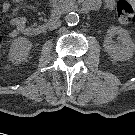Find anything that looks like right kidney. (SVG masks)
Segmentation results:
<instances>
[{
  "label": "right kidney",
  "instance_id": "ca27d5eb",
  "mask_svg": "<svg viewBox=\"0 0 135 135\" xmlns=\"http://www.w3.org/2000/svg\"><path fill=\"white\" fill-rule=\"evenodd\" d=\"M32 43L25 37H18L13 40L9 49V59L13 64H20L29 55Z\"/></svg>",
  "mask_w": 135,
  "mask_h": 135
}]
</instances>
